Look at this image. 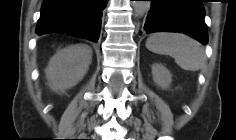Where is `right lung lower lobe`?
Segmentation results:
<instances>
[{"label": "right lung lower lobe", "mask_w": 236, "mask_h": 140, "mask_svg": "<svg viewBox=\"0 0 236 140\" xmlns=\"http://www.w3.org/2000/svg\"><path fill=\"white\" fill-rule=\"evenodd\" d=\"M107 0H44L36 33L64 32L97 42Z\"/></svg>", "instance_id": "right-lung-lower-lobe-1"}]
</instances>
